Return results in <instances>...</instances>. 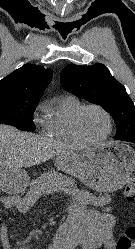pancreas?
<instances>
[{
    "instance_id": "pancreas-1",
    "label": "pancreas",
    "mask_w": 135,
    "mask_h": 249,
    "mask_svg": "<svg viewBox=\"0 0 135 249\" xmlns=\"http://www.w3.org/2000/svg\"><path fill=\"white\" fill-rule=\"evenodd\" d=\"M64 189H65V187H64ZM66 190L68 191V193L77 196L78 199L82 198L83 192L81 190H79L77 188H73V187H68V188H66Z\"/></svg>"
}]
</instances>
